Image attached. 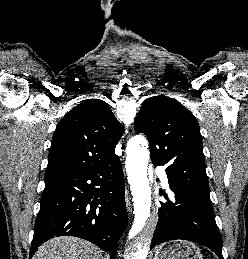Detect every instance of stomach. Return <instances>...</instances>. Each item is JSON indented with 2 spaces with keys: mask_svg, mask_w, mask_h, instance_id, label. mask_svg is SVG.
Returning a JSON list of instances; mask_svg holds the SVG:
<instances>
[{
  "mask_svg": "<svg viewBox=\"0 0 248 259\" xmlns=\"http://www.w3.org/2000/svg\"><path fill=\"white\" fill-rule=\"evenodd\" d=\"M154 259H203V256L195 244L177 240L157 248Z\"/></svg>",
  "mask_w": 248,
  "mask_h": 259,
  "instance_id": "0dacf381",
  "label": "stomach"
}]
</instances>
